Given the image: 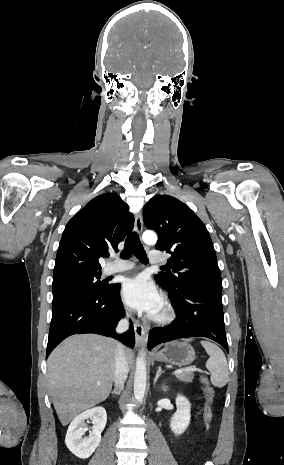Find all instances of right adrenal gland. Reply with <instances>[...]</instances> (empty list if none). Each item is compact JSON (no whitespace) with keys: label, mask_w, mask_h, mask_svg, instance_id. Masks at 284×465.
<instances>
[{"label":"right adrenal gland","mask_w":284,"mask_h":465,"mask_svg":"<svg viewBox=\"0 0 284 465\" xmlns=\"http://www.w3.org/2000/svg\"><path fill=\"white\" fill-rule=\"evenodd\" d=\"M122 389H119V391H116V389H114V391H111V395H120Z\"/></svg>","instance_id":"obj_1"}]
</instances>
